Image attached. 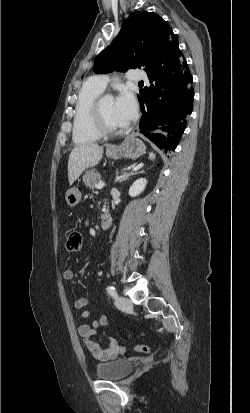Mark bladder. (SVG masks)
Masks as SVG:
<instances>
[{"label":"bladder","instance_id":"31cf9c89","mask_svg":"<svg viewBox=\"0 0 250 413\" xmlns=\"http://www.w3.org/2000/svg\"><path fill=\"white\" fill-rule=\"evenodd\" d=\"M133 363L125 358H117L96 365V375L104 380H120L133 370Z\"/></svg>","mask_w":250,"mask_h":413}]
</instances>
